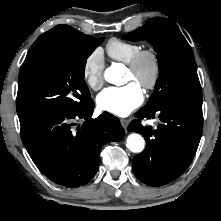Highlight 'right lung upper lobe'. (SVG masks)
I'll return each mask as SVG.
<instances>
[{
    "mask_svg": "<svg viewBox=\"0 0 221 221\" xmlns=\"http://www.w3.org/2000/svg\"><path fill=\"white\" fill-rule=\"evenodd\" d=\"M86 36L88 35H85L68 25H57L37 38L30 47L22 65L26 64L30 59L47 48L72 43L84 39Z\"/></svg>",
    "mask_w": 221,
    "mask_h": 221,
    "instance_id": "right-lung-upper-lobe-1",
    "label": "right lung upper lobe"
}]
</instances>
